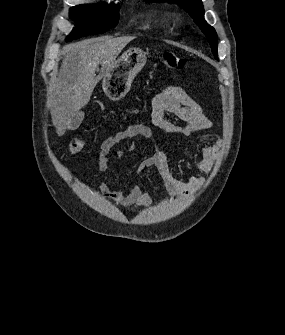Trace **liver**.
<instances>
[{
    "instance_id": "liver-1",
    "label": "liver",
    "mask_w": 285,
    "mask_h": 335,
    "mask_svg": "<svg viewBox=\"0 0 285 335\" xmlns=\"http://www.w3.org/2000/svg\"><path fill=\"white\" fill-rule=\"evenodd\" d=\"M134 38L126 36L104 42L103 38H92L62 48L65 56L50 100V114L58 136L65 134L76 112L88 104L99 82V78H95L99 64L102 74H106L123 48Z\"/></svg>"
}]
</instances>
